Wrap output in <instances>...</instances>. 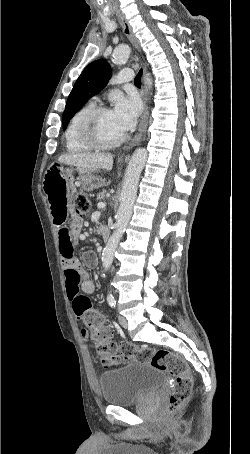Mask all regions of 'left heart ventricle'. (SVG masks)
Here are the masks:
<instances>
[{
	"label": "left heart ventricle",
	"mask_w": 250,
	"mask_h": 454,
	"mask_svg": "<svg viewBox=\"0 0 250 454\" xmlns=\"http://www.w3.org/2000/svg\"><path fill=\"white\" fill-rule=\"evenodd\" d=\"M97 132L103 141H113L124 135L117 127L111 111L101 115L97 123Z\"/></svg>",
	"instance_id": "1"
}]
</instances>
